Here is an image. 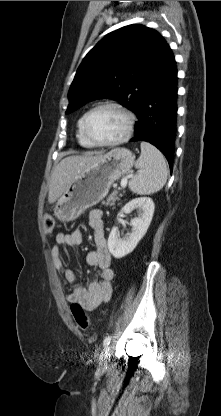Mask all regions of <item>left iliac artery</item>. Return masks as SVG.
<instances>
[{
	"mask_svg": "<svg viewBox=\"0 0 221 416\" xmlns=\"http://www.w3.org/2000/svg\"><path fill=\"white\" fill-rule=\"evenodd\" d=\"M112 336H107L103 341V346H108L111 342Z\"/></svg>",
	"mask_w": 221,
	"mask_h": 416,
	"instance_id": "obj_1",
	"label": "left iliac artery"
}]
</instances>
